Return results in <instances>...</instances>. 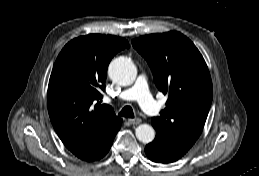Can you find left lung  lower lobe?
Segmentation results:
<instances>
[{
  "mask_svg": "<svg viewBox=\"0 0 259 176\" xmlns=\"http://www.w3.org/2000/svg\"><path fill=\"white\" fill-rule=\"evenodd\" d=\"M189 149L167 143L164 138L156 136L154 141L145 147V152L154 162L171 163L181 158Z\"/></svg>",
  "mask_w": 259,
  "mask_h": 176,
  "instance_id": "obj_1",
  "label": "left lung lower lobe"
}]
</instances>
